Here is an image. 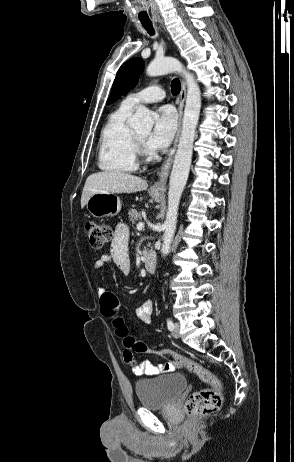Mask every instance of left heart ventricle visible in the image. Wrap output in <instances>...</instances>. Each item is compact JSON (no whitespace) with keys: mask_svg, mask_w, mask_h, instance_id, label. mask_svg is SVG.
<instances>
[{"mask_svg":"<svg viewBox=\"0 0 294 462\" xmlns=\"http://www.w3.org/2000/svg\"><path fill=\"white\" fill-rule=\"evenodd\" d=\"M137 136H138L141 140L145 141L146 138H147V136H148V133H137Z\"/></svg>","mask_w":294,"mask_h":462,"instance_id":"1","label":"left heart ventricle"}]
</instances>
